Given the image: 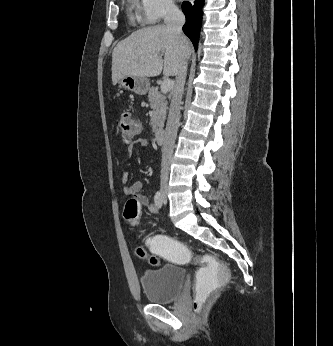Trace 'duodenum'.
<instances>
[{
	"label": "duodenum",
	"mask_w": 333,
	"mask_h": 346,
	"mask_svg": "<svg viewBox=\"0 0 333 346\" xmlns=\"http://www.w3.org/2000/svg\"><path fill=\"white\" fill-rule=\"evenodd\" d=\"M154 135H155V141L158 144H162L164 142L165 133L163 129H160V128L156 129Z\"/></svg>",
	"instance_id": "obj_1"
}]
</instances>
